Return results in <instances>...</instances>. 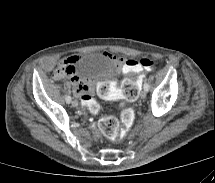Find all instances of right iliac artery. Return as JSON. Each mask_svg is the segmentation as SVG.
Returning a JSON list of instances; mask_svg holds the SVG:
<instances>
[{
	"instance_id": "right-iliac-artery-1",
	"label": "right iliac artery",
	"mask_w": 215,
	"mask_h": 183,
	"mask_svg": "<svg viewBox=\"0 0 215 183\" xmlns=\"http://www.w3.org/2000/svg\"><path fill=\"white\" fill-rule=\"evenodd\" d=\"M65 100H66V102L69 104V103L71 102V97H70V96H67Z\"/></svg>"
}]
</instances>
